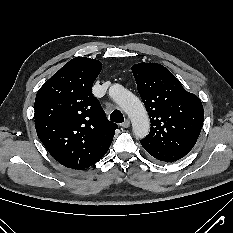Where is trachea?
<instances>
[{
  "instance_id": "obj_1",
  "label": "trachea",
  "mask_w": 233,
  "mask_h": 233,
  "mask_svg": "<svg viewBox=\"0 0 233 233\" xmlns=\"http://www.w3.org/2000/svg\"><path fill=\"white\" fill-rule=\"evenodd\" d=\"M110 120L115 123H122L124 122V116L119 110H115L111 113Z\"/></svg>"
}]
</instances>
